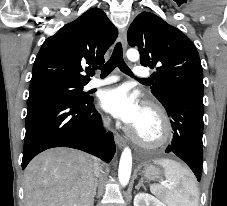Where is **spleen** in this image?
<instances>
[{
  "label": "spleen",
  "mask_w": 227,
  "mask_h": 206,
  "mask_svg": "<svg viewBox=\"0 0 227 206\" xmlns=\"http://www.w3.org/2000/svg\"><path fill=\"white\" fill-rule=\"evenodd\" d=\"M154 163L164 168L169 185H154L151 190L166 206H198V187L187 169L170 159H157Z\"/></svg>",
  "instance_id": "spleen-1"
}]
</instances>
